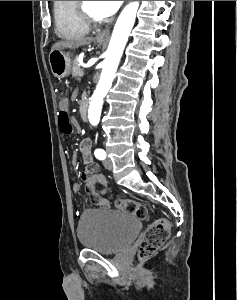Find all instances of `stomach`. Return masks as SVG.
Masks as SVG:
<instances>
[{"label":"stomach","mask_w":237,"mask_h":300,"mask_svg":"<svg viewBox=\"0 0 237 300\" xmlns=\"http://www.w3.org/2000/svg\"><path fill=\"white\" fill-rule=\"evenodd\" d=\"M97 43H102V41H97ZM49 63L51 71L57 79H63V77H68V75H70L72 63L71 57L69 53H65L63 49H61V51H51Z\"/></svg>","instance_id":"obj_1"}]
</instances>
